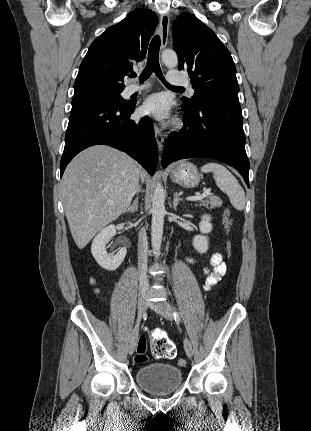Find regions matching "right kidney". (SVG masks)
<instances>
[{
  "label": "right kidney",
  "instance_id": "1",
  "mask_svg": "<svg viewBox=\"0 0 311 431\" xmlns=\"http://www.w3.org/2000/svg\"><path fill=\"white\" fill-rule=\"evenodd\" d=\"M116 227L115 225H107L104 229H101L97 235H95L92 245H91V253L93 257H95L97 263L104 267V269H117L119 265H121L126 253V247H121L115 255H110L108 251H106V243L110 241L111 237L115 235Z\"/></svg>",
  "mask_w": 311,
  "mask_h": 431
}]
</instances>
